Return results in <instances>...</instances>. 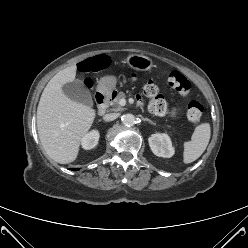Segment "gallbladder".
<instances>
[{
  "label": "gallbladder",
  "instance_id": "obj_1",
  "mask_svg": "<svg viewBox=\"0 0 248 248\" xmlns=\"http://www.w3.org/2000/svg\"><path fill=\"white\" fill-rule=\"evenodd\" d=\"M64 94L73 101L83 103L88 106L93 105L92 96L82 81L74 80L63 85Z\"/></svg>",
  "mask_w": 248,
  "mask_h": 248
}]
</instances>
